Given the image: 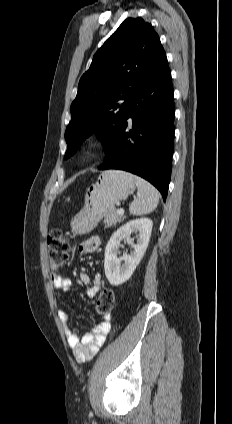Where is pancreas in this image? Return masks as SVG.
Listing matches in <instances>:
<instances>
[{"label":"pancreas","instance_id":"obj_1","mask_svg":"<svg viewBox=\"0 0 232 424\" xmlns=\"http://www.w3.org/2000/svg\"><path fill=\"white\" fill-rule=\"evenodd\" d=\"M122 218H123V214H118L117 209H113L105 216V219H104L105 228L115 225L117 222H120Z\"/></svg>","mask_w":232,"mask_h":424}]
</instances>
